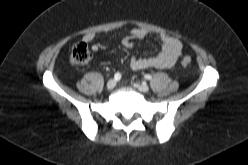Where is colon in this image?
I'll list each match as a JSON object with an SVG mask.
<instances>
[{"label": "colon", "mask_w": 248, "mask_h": 165, "mask_svg": "<svg viewBox=\"0 0 248 165\" xmlns=\"http://www.w3.org/2000/svg\"><path fill=\"white\" fill-rule=\"evenodd\" d=\"M91 58H92V54L86 43L84 42L77 43L72 48V51L70 54V61L73 65H76V66L86 65L90 62ZM181 64L183 66L190 65L191 58L189 56H184L181 59Z\"/></svg>", "instance_id": "1"}]
</instances>
